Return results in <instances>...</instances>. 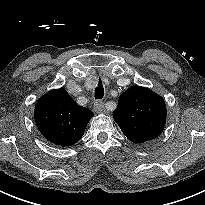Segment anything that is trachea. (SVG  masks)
Masks as SVG:
<instances>
[{"instance_id":"obj_1","label":"trachea","mask_w":205,"mask_h":205,"mask_svg":"<svg viewBox=\"0 0 205 205\" xmlns=\"http://www.w3.org/2000/svg\"><path fill=\"white\" fill-rule=\"evenodd\" d=\"M104 95V88L102 81H99L97 87L95 88L94 97L95 99H102Z\"/></svg>"}]
</instances>
